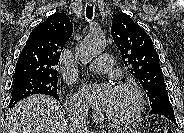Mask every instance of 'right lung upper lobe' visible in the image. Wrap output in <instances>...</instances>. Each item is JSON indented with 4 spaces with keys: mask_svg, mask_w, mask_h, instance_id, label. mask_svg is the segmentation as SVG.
Segmentation results:
<instances>
[{
    "mask_svg": "<svg viewBox=\"0 0 184 133\" xmlns=\"http://www.w3.org/2000/svg\"><path fill=\"white\" fill-rule=\"evenodd\" d=\"M73 33V24L63 12L50 15L30 33L19 55L13 78L56 77L63 46Z\"/></svg>",
    "mask_w": 184,
    "mask_h": 133,
    "instance_id": "1",
    "label": "right lung upper lobe"
}]
</instances>
